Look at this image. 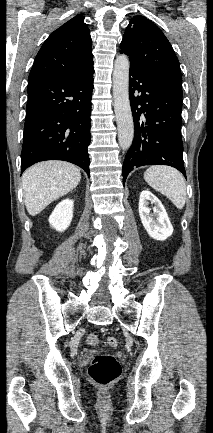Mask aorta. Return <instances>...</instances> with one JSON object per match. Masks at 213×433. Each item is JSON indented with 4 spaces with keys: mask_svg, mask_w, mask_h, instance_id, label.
Wrapping results in <instances>:
<instances>
[{
    "mask_svg": "<svg viewBox=\"0 0 213 433\" xmlns=\"http://www.w3.org/2000/svg\"><path fill=\"white\" fill-rule=\"evenodd\" d=\"M129 58L118 55L113 70L114 111L118 128V141L123 150L132 145L134 123L129 100Z\"/></svg>",
    "mask_w": 213,
    "mask_h": 433,
    "instance_id": "aorta-1",
    "label": "aorta"
}]
</instances>
